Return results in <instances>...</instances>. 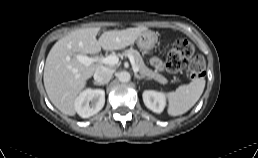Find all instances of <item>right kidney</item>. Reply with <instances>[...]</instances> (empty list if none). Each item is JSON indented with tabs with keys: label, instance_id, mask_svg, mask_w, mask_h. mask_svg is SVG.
Returning <instances> with one entry per match:
<instances>
[{
	"label": "right kidney",
	"instance_id": "obj_1",
	"mask_svg": "<svg viewBox=\"0 0 258 158\" xmlns=\"http://www.w3.org/2000/svg\"><path fill=\"white\" fill-rule=\"evenodd\" d=\"M105 104L103 89H86L75 99V111L82 118H89L97 114Z\"/></svg>",
	"mask_w": 258,
	"mask_h": 158
}]
</instances>
